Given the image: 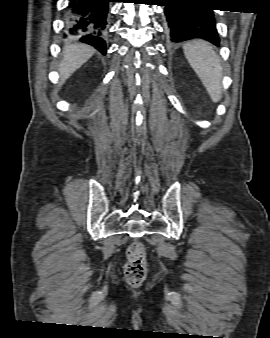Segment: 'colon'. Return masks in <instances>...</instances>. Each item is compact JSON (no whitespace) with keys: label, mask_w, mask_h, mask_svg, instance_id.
Listing matches in <instances>:
<instances>
[{"label":"colon","mask_w":270,"mask_h":338,"mask_svg":"<svg viewBox=\"0 0 270 338\" xmlns=\"http://www.w3.org/2000/svg\"><path fill=\"white\" fill-rule=\"evenodd\" d=\"M147 270L146 250L142 243L133 242L126 251L124 274L127 283L138 287L144 281Z\"/></svg>","instance_id":"obj_1"}]
</instances>
